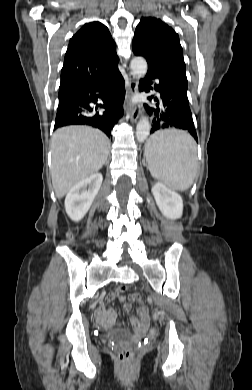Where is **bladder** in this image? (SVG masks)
<instances>
[{
    "label": "bladder",
    "instance_id": "obj_1",
    "mask_svg": "<svg viewBox=\"0 0 252 390\" xmlns=\"http://www.w3.org/2000/svg\"><path fill=\"white\" fill-rule=\"evenodd\" d=\"M99 337L101 338H111V337H119L123 340H129L130 339V335L128 334H123L122 332L120 331H115L113 329H103L100 334H99Z\"/></svg>",
    "mask_w": 252,
    "mask_h": 390
}]
</instances>
